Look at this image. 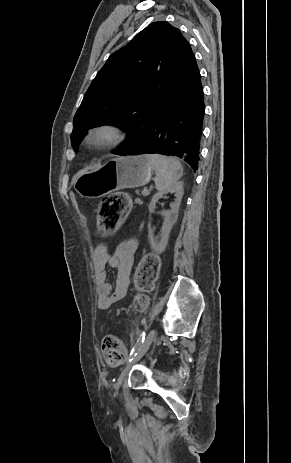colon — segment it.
Masks as SVG:
<instances>
[{
  "label": "colon",
  "instance_id": "5ec220e1",
  "mask_svg": "<svg viewBox=\"0 0 291 463\" xmlns=\"http://www.w3.org/2000/svg\"><path fill=\"white\" fill-rule=\"evenodd\" d=\"M131 208V200L125 193L118 192L102 199L98 207L97 227L101 233H110L119 228ZM159 260L155 255L146 256L137 272L136 285L140 292L148 291L157 274ZM146 303L143 295L136 298V305L142 308ZM102 354L109 365H119L125 358L122 343L115 335H106L102 341Z\"/></svg>",
  "mask_w": 291,
  "mask_h": 463
}]
</instances>
